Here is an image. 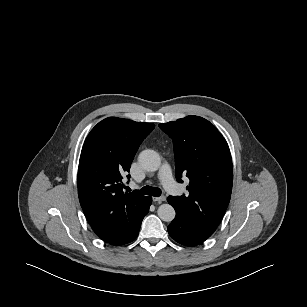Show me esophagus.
Returning <instances> with one entry per match:
<instances>
[{"mask_svg":"<svg viewBox=\"0 0 307 307\" xmlns=\"http://www.w3.org/2000/svg\"><path fill=\"white\" fill-rule=\"evenodd\" d=\"M152 199H153L154 202L161 203V202L166 200V197L160 196V197H153Z\"/></svg>","mask_w":307,"mask_h":307,"instance_id":"obj_1","label":"esophagus"}]
</instances>
